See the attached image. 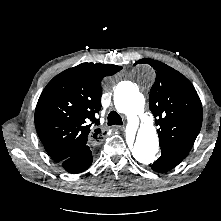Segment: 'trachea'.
<instances>
[{
    "label": "trachea",
    "instance_id": "3493384b",
    "mask_svg": "<svg viewBox=\"0 0 221 221\" xmlns=\"http://www.w3.org/2000/svg\"><path fill=\"white\" fill-rule=\"evenodd\" d=\"M123 121L121 116L116 111H111L108 115V125H122Z\"/></svg>",
    "mask_w": 221,
    "mask_h": 221
}]
</instances>
